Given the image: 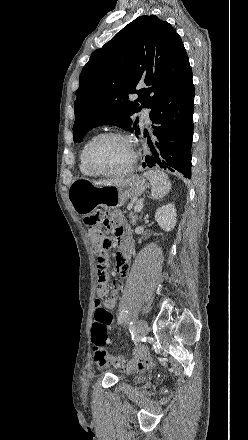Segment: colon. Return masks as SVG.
Segmentation results:
<instances>
[{
    "label": "colon",
    "instance_id": "obj_1",
    "mask_svg": "<svg viewBox=\"0 0 248 440\" xmlns=\"http://www.w3.org/2000/svg\"><path fill=\"white\" fill-rule=\"evenodd\" d=\"M103 221L104 214L101 211H95L85 218L86 224L89 225V234L98 259L99 257H108V251L113 246L111 236L106 234L99 226ZM95 304V321L92 327L93 343L96 346L95 361L100 366H105L111 362L120 365L122 359H111L104 349V346L108 343V333L113 323L112 314L97 301H95Z\"/></svg>",
    "mask_w": 248,
    "mask_h": 440
}]
</instances>
